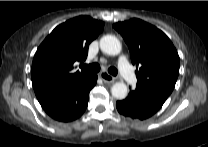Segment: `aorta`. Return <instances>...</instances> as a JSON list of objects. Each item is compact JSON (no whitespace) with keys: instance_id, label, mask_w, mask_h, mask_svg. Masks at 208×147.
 I'll use <instances>...</instances> for the list:
<instances>
[{"instance_id":"762f6f07","label":"aorta","mask_w":208,"mask_h":147,"mask_svg":"<svg viewBox=\"0 0 208 147\" xmlns=\"http://www.w3.org/2000/svg\"><path fill=\"white\" fill-rule=\"evenodd\" d=\"M100 49L107 55H118L122 50L120 41L113 35H105L100 39ZM112 96L122 100L126 98L128 88L124 82H117L111 88Z\"/></svg>"}]
</instances>
